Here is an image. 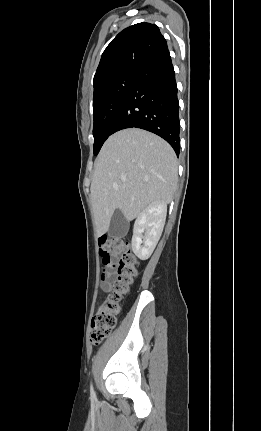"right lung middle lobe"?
Wrapping results in <instances>:
<instances>
[{
    "instance_id": "right-lung-middle-lobe-1",
    "label": "right lung middle lobe",
    "mask_w": 261,
    "mask_h": 431,
    "mask_svg": "<svg viewBox=\"0 0 261 431\" xmlns=\"http://www.w3.org/2000/svg\"><path fill=\"white\" fill-rule=\"evenodd\" d=\"M138 74L139 71L122 73L94 89V155L99 153L103 143L112 134L114 120Z\"/></svg>"
}]
</instances>
